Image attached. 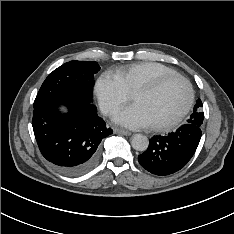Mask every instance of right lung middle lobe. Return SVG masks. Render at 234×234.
Listing matches in <instances>:
<instances>
[{
    "instance_id": "dd1d6c3e",
    "label": "right lung middle lobe",
    "mask_w": 234,
    "mask_h": 234,
    "mask_svg": "<svg viewBox=\"0 0 234 234\" xmlns=\"http://www.w3.org/2000/svg\"><path fill=\"white\" fill-rule=\"evenodd\" d=\"M100 70L95 61H70L51 72L43 82L34 108L51 100L73 98L92 103L94 75Z\"/></svg>"
}]
</instances>
